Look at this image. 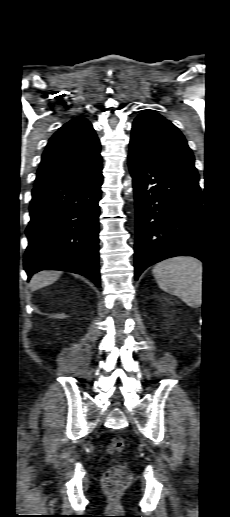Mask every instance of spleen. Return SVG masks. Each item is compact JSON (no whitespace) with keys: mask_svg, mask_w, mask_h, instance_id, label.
Segmentation results:
<instances>
[{"mask_svg":"<svg viewBox=\"0 0 230 517\" xmlns=\"http://www.w3.org/2000/svg\"><path fill=\"white\" fill-rule=\"evenodd\" d=\"M159 287L179 297L190 307L202 304V263L192 257H175L156 264L152 270Z\"/></svg>","mask_w":230,"mask_h":517,"instance_id":"1","label":"spleen"}]
</instances>
